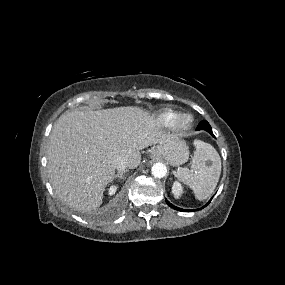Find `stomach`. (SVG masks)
<instances>
[{"instance_id": "0dacf381", "label": "stomach", "mask_w": 285, "mask_h": 285, "mask_svg": "<svg viewBox=\"0 0 285 285\" xmlns=\"http://www.w3.org/2000/svg\"><path fill=\"white\" fill-rule=\"evenodd\" d=\"M151 156L164 159L172 166H179L188 160L189 149L184 141L175 138L154 147Z\"/></svg>"}]
</instances>
